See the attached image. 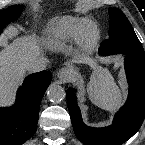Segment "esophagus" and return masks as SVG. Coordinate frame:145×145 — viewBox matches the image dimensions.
Returning a JSON list of instances; mask_svg holds the SVG:
<instances>
[{
	"mask_svg": "<svg viewBox=\"0 0 145 145\" xmlns=\"http://www.w3.org/2000/svg\"><path fill=\"white\" fill-rule=\"evenodd\" d=\"M70 76L71 71L68 68H61L57 73L60 83H66L70 79Z\"/></svg>",
	"mask_w": 145,
	"mask_h": 145,
	"instance_id": "1",
	"label": "esophagus"
}]
</instances>
